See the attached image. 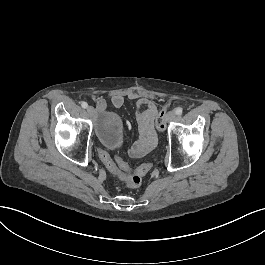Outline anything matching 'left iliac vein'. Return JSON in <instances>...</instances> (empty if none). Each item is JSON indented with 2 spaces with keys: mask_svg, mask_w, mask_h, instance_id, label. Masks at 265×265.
<instances>
[{
  "mask_svg": "<svg viewBox=\"0 0 265 265\" xmlns=\"http://www.w3.org/2000/svg\"><path fill=\"white\" fill-rule=\"evenodd\" d=\"M175 118H176V113H175L174 111H169V112L165 115V117H164V119H163V122H164V124H167V123H169L170 121L174 120Z\"/></svg>",
  "mask_w": 265,
  "mask_h": 265,
  "instance_id": "left-iliac-vein-1",
  "label": "left iliac vein"
}]
</instances>
